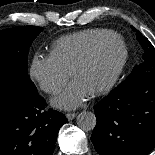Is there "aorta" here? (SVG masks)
Instances as JSON below:
<instances>
[{"label": "aorta", "mask_w": 155, "mask_h": 155, "mask_svg": "<svg viewBox=\"0 0 155 155\" xmlns=\"http://www.w3.org/2000/svg\"><path fill=\"white\" fill-rule=\"evenodd\" d=\"M77 124L83 130H93L96 126L95 114L90 111H82L77 116Z\"/></svg>", "instance_id": "762f6f07"}]
</instances>
